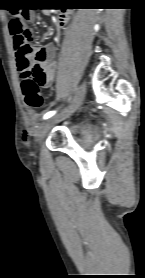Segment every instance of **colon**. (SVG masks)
<instances>
[{"label":"colon","mask_w":145,"mask_h":278,"mask_svg":"<svg viewBox=\"0 0 145 278\" xmlns=\"http://www.w3.org/2000/svg\"><path fill=\"white\" fill-rule=\"evenodd\" d=\"M31 17L27 9L16 11L10 21L9 31L13 37V42L17 47V54L30 56L32 49L27 44L26 22ZM45 81V71L41 64H35L23 75L22 93L26 104L31 108H39L43 104V96L40 87Z\"/></svg>","instance_id":"obj_1"}]
</instances>
